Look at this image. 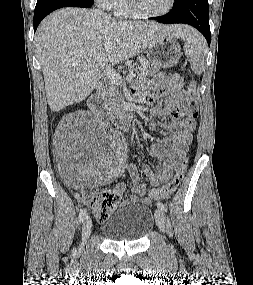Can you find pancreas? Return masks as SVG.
<instances>
[{"mask_svg": "<svg viewBox=\"0 0 253 285\" xmlns=\"http://www.w3.org/2000/svg\"><path fill=\"white\" fill-rule=\"evenodd\" d=\"M159 70V67L150 65V63L147 62H143L141 64L134 63L128 67V72H135L139 78L153 76ZM119 85L120 83H113L109 79L105 80L99 89V94L103 100L104 106L109 112L116 111L119 105V101L122 99Z\"/></svg>", "mask_w": 253, "mask_h": 285, "instance_id": "cf45deb5", "label": "pancreas"}]
</instances>
